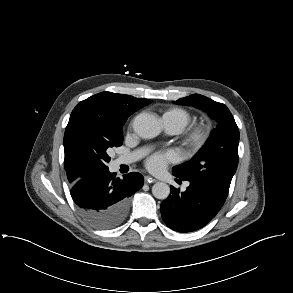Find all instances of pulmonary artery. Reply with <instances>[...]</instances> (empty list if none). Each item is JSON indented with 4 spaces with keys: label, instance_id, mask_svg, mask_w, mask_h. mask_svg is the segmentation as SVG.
<instances>
[{
    "label": "pulmonary artery",
    "instance_id": "e3ab8cb5",
    "mask_svg": "<svg viewBox=\"0 0 293 293\" xmlns=\"http://www.w3.org/2000/svg\"><path fill=\"white\" fill-rule=\"evenodd\" d=\"M162 122H163V125H164V127H165V129H166V131L168 133H170V134H176L177 133V130L172 126V124L169 122V120L163 119ZM146 152H147V148H145V147L140 148V149L134 151L128 157L118 159L116 161V164L117 165H119V164H127V163H130V162L136 161L139 158H141ZM187 186H188V183H185L184 188H186Z\"/></svg>",
    "mask_w": 293,
    "mask_h": 293
}]
</instances>
